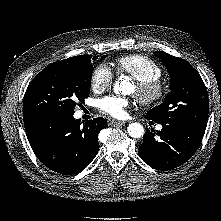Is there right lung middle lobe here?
<instances>
[{"mask_svg":"<svg viewBox=\"0 0 221 221\" xmlns=\"http://www.w3.org/2000/svg\"><path fill=\"white\" fill-rule=\"evenodd\" d=\"M95 58L87 55L77 65L62 60L43 69L27 87L23 113L74 114L76 105L84 103L90 93Z\"/></svg>","mask_w":221,"mask_h":221,"instance_id":"obj_1","label":"right lung middle lobe"}]
</instances>
